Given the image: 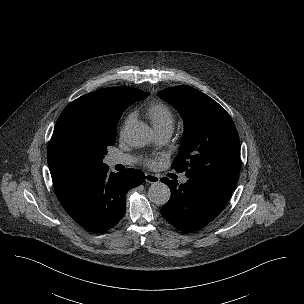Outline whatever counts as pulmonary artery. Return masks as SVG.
Here are the masks:
<instances>
[{"mask_svg": "<svg viewBox=\"0 0 304 304\" xmlns=\"http://www.w3.org/2000/svg\"><path fill=\"white\" fill-rule=\"evenodd\" d=\"M172 135V130L170 129H161V130H155V141L158 144H164L166 143ZM110 164L115 165H129L133 162V158L129 155L125 154H115L110 157ZM188 178L186 176H182L180 178V182L182 184H185L187 182Z\"/></svg>", "mask_w": 304, "mask_h": 304, "instance_id": "pulmonary-artery-1", "label": "pulmonary artery"}]
</instances>
